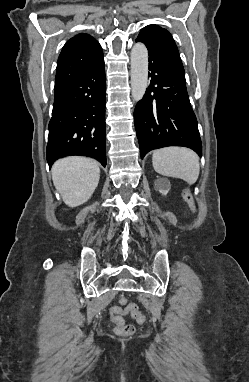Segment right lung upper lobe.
<instances>
[{"instance_id":"1","label":"right lung upper lobe","mask_w":249,"mask_h":382,"mask_svg":"<svg viewBox=\"0 0 249 382\" xmlns=\"http://www.w3.org/2000/svg\"><path fill=\"white\" fill-rule=\"evenodd\" d=\"M102 53L100 44L88 34H78L68 40L58 58L55 91L95 64Z\"/></svg>"}]
</instances>
